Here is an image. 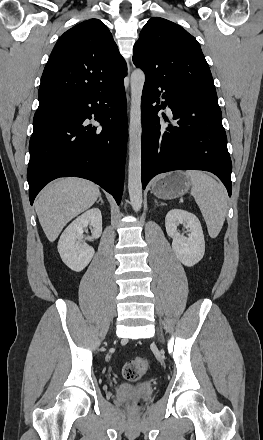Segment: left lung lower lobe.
Returning a JSON list of instances; mask_svg holds the SVG:
<instances>
[{
	"mask_svg": "<svg viewBox=\"0 0 263 440\" xmlns=\"http://www.w3.org/2000/svg\"><path fill=\"white\" fill-rule=\"evenodd\" d=\"M165 102L159 104L160 91ZM174 123L159 122L166 106ZM142 186L157 174L184 169L214 173L232 192V163L218 99L185 92L171 82L146 78L142 95ZM166 118V115L163 114Z\"/></svg>",
	"mask_w": 263,
	"mask_h": 440,
	"instance_id": "left-lung-lower-lobe-1",
	"label": "left lung lower lobe"
}]
</instances>
